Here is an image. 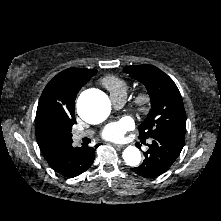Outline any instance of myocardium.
<instances>
[{
    "label": "myocardium",
    "instance_id": "1",
    "mask_svg": "<svg viewBox=\"0 0 221 221\" xmlns=\"http://www.w3.org/2000/svg\"><path fill=\"white\" fill-rule=\"evenodd\" d=\"M133 104L138 112L148 113L152 106V97L149 91L144 88L138 90L134 95Z\"/></svg>",
    "mask_w": 221,
    "mask_h": 221
}]
</instances>
